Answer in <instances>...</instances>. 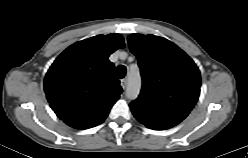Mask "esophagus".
Here are the masks:
<instances>
[{
    "label": "esophagus",
    "mask_w": 248,
    "mask_h": 158,
    "mask_svg": "<svg viewBox=\"0 0 248 158\" xmlns=\"http://www.w3.org/2000/svg\"><path fill=\"white\" fill-rule=\"evenodd\" d=\"M121 86L123 89H126V87H127V79L126 78L121 80Z\"/></svg>",
    "instance_id": "obj_1"
}]
</instances>
